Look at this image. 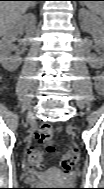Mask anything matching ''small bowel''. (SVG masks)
Returning <instances> with one entry per match:
<instances>
[{
    "instance_id": "obj_1",
    "label": "small bowel",
    "mask_w": 104,
    "mask_h": 189,
    "mask_svg": "<svg viewBox=\"0 0 104 189\" xmlns=\"http://www.w3.org/2000/svg\"><path fill=\"white\" fill-rule=\"evenodd\" d=\"M95 85L98 89H102L104 86V77L102 75H97L95 77Z\"/></svg>"
}]
</instances>
